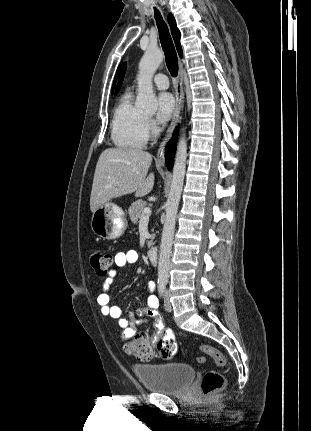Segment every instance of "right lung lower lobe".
<instances>
[{
	"label": "right lung lower lobe",
	"mask_w": 311,
	"mask_h": 431,
	"mask_svg": "<svg viewBox=\"0 0 311 431\" xmlns=\"http://www.w3.org/2000/svg\"><path fill=\"white\" fill-rule=\"evenodd\" d=\"M176 137H177V130H175L173 138L168 142L166 146L165 158H166L167 167L169 169H171L173 165V157L176 149Z\"/></svg>",
	"instance_id": "98d812e1"
}]
</instances>
